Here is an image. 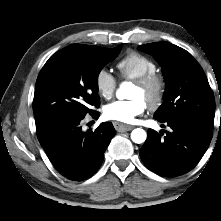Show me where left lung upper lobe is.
I'll return each mask as SVG.
<instances>
[{"label": "left lung upper lobe", "mask_w": 221, "mask_h": 221, "mask_svg": "<svg viewBox=\"0 0 221 221\" xmlns=\"http://www.w3.org/2000/svg\"><path fill=\"white\" fill-rule=\"evenodd\" d=\"M162 66L166 81L163 104L154 118L160 122L186 117L213 127L215 100L199 63L186 50L168 42L139 46Z\"/></svg>", "instance_id": "obj_1"}]
</instances>
